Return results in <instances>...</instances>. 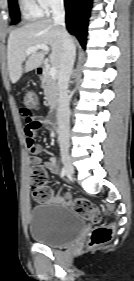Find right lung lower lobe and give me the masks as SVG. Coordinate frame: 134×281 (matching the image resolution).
I'll return each mask as SVG.
<instances>
[{
    "label": "right lung lower lobe",
    "instance_id": "98d812e1",
    "mask_svg": "<svg viewBox=\"0 0 134 281\" xmlns=\"http://www.w3.org/2000/svg\"><path fill=\"white\" fill-rule=\"evenodd\" d=\"M66 8V26L74 34L83 48L86 45L88 18L92 0H64Z\"/></svg>",
    "mask_w": 134,
    "mask_h": 281
}]
</instances>
